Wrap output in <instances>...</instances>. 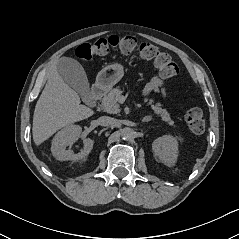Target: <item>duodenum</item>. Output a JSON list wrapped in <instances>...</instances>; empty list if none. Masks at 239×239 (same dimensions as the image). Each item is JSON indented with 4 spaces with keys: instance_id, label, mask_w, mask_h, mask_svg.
Here are the masks:
<instances>
[{
    "instance_id": "duodenum-1",
    "label": "duodenum",
    "mask_w": 239,
    "mask_h": 239,
    "mask_svg": "<svg viewBox=\"0 0 239 239\" xmlns=\"http://www.w3.org/2000/svg\"><path fill=\"white\" fill-rule=\"evenodd\" d=\"M105 94V87L102 85H97L92 89L91 98L93 101H98Z\"/></svg>"
}]
</instances>
